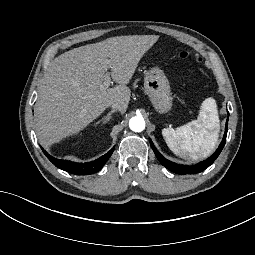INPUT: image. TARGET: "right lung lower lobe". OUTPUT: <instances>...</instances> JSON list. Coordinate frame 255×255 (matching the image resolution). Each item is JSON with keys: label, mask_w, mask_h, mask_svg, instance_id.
I'll use <instances>...</instances> for the list:
<instances>
[{"label": "right lung lower lobe", "mask_w": 255, "mask_h": 255, "mask_svg": "<svg viewBox=\"0 0 255 255\" xmlns=\"http://www.w3.org/2000/svg\"><path fill=\"white\" fill-rule=\"evenodd\" d=\"M43 150V149H42ZM114 151V147L105 155L101 156L95 161L86 162V163H76L68 160H60L52 157L47 152L44 154L47 158L58 168L75 175H89L98 172L104 164L107 162L109 157Z\"/></svg>", "instance_id": "obj_1"}]
</instances>
